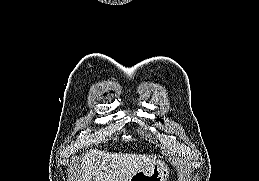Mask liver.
Listing matches in <instances>:
<instances>
[{"instance_id":"1","label":"liver","mask_w":259,"mask_h":181,"mask_svg":"<svg viewBox=\"0 0 259 181\" xmlns=\"http://www.w3.org/2000/svg\"><path fill=\"white\" fill-rule=\"evenodd\" d=\"M155 162V157L90 150L80 158L78 181H129Z\"/></svg>"}]
</instances>
